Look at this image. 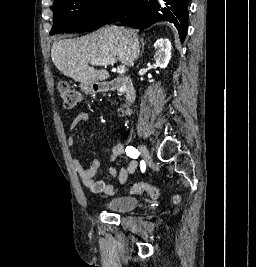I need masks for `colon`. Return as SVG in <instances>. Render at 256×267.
<instances>
[{"label":"colon","instance_id":"colon-1","mask_svg":"<svg viewBox=\"0 0 256 267\" xmlns=\"http://www.w3.org/2000/svg\"><path fill=\"white\" fill-rule=\"evenodd\" d=\"M58 94L63 102V105L68 109L75 108L83 103L82 93L79 92L77 88L72 84H58ZM131 192L135 194L147 193L151 198H155L158 195L157 190L146 182H136L132 184ZM174 201L176 203H179L181 201V195H176Z\"/></svg>","mask_w":256,"mask_h":267}]
</instances>
